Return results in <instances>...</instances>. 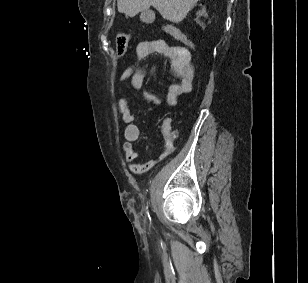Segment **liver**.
<instances>
[{
	"mask_svg": "<svg viewBox=\"0 0 308 283\" xmlns=\"http://www.w3.org/2000/svg\"><path fill=\"white\" fill-rule=\"evenodd\" d=\"M199 0H117L120 13L134 17L153 6L161 16L173 23L181 22Z\"/></svg>",
	"mask_w": 308,
	"mask_h": 283,
	"instance_id": "6515ba94",
	"label": "liver"
}]
</instances>
